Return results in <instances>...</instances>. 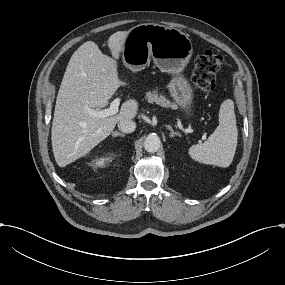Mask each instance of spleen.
<instances>
[{"mask_svg": "<svg viewBox=\"0 0 285 285\" xmlns=\"http://www.w3.org/2000/svg\"><path fill=\"white\" fill-rule=\"evenodd\" d=\"M219 123L205 143L193 145L188 149L192 160L221 168H226L232 163L238 136L232 100L222 102Z\"/></svg>", "mask_w": 285, "mask_h": 285, "instance_id": "obj_1", "label": "spleen"}]
</instances>
